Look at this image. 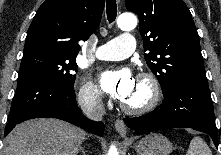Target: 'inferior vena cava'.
Masks as SVG:
<instances>
[{"label":"inferior vena cava","mask_w":221,"mask_h":155,"mask_svg":"<svg viewBox=\"0 0 221 155\" xmlns=\"http://www.w3.org/2000/svg\"><path fill=\"white\" fill-rule=\"evenodd\" d=\"M79 105L84 114L92 120H102L105 114L101 93L98 90H92L80 95Z\"/></svg>","instance_id":"obj_1"}]
</instances>
